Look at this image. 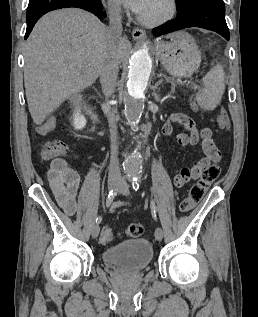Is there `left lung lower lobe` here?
Returning <instances> with one entry per match:
<instances>
[{"mask_svg": "<svg viewBox=\"0 0 258 317\" xmlns=\"http://www.w3.org/2000/svg\"><path fill=\"white\" fill-rule=\"evenodd\" d=\"M189 27L212 30L229 40L230 34L225 21L223 0H194L181 14L178 13L177 20L155 28L153 34L158 37Z\"/></svg>", "mask_w": 258, "mask_h": 317, "instance_id": "obj_1", "label": "left lung lower lobe"}]
</instances>
